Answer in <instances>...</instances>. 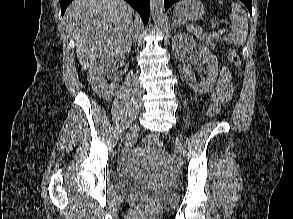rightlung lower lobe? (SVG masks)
<instances>
[{
    "label": "right lung lower lobe",
    "instance_id": "98d812e1",
    "mask_svg": "<svg viewBox=\"0 0 293 219\" xmlns=\"http://www.w3.org/2000/svg\"><path fill=\"white\" fill-rule=\"evenodd\" d=\"M61 6V14L64 15L65 10L72 0H59ZM128 2L141 16L142 21L146 24L150 15V0H125Z\"/></svg>",
    "mask_w": 293,
    "mask_h": 219
}]
</instances>
